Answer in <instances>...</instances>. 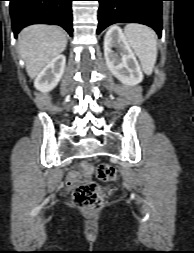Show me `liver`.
Masks as SVG:
<instances>
[{
  "mask_svg": "<svg viewBox=\"0 0 194 253\" xmlns=\"http://www.w3.org/2000/svg\"><path fill=\"white\" fill-rule=\"evenodd\" d=\"M66 45V34L60 27L38 24L24 28L19 34L18 48L29 77L35 78Z\"/></svg>",
  "mask_w": 194,
  "mask_h": 253,
  "instance_id": "6515ba94",
  "label": "liver"
}]
</instances>
